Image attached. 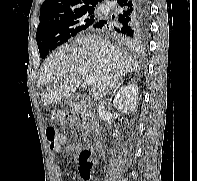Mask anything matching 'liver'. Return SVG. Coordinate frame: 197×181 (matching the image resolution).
Returning a JSON list of instances; mask_svg holds the SVG:
<instances>
[{
	"mask_svg": "<svg viewBox=\"0 0 197 181\" xmlns=\"http://www.w3.org/2000/svg\"><path fill=\"white\" fill-rule=\"evenodd\" d=\"M139 64L126 51L96 35H80L75 44L64 45L42 65L39 78L40 88L60 82L44 94V105L58 104L70 97L80 85L81 75H92V96L100 99L109 88L130 72L139 69Z\"/></svg>",
	"mask_w": 197,
	"mask_h": 181,
	"instance_id": "6515ba94",
	"label": "liver"
}]
</instances>
